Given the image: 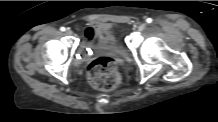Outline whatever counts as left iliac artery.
Masks as SVG:
<instances>
[{"label":"left iliac artery","mask_w":218,"mask_h":122,"mask_svg":"<svg viewBox=\"0 0 218 122\" xmlns=\"http://www.w3.org/2000/svg\"><path fill=\"white\" fill-rule=\"evenodd\" d=\"M146 22L147 23H152V19L151 18H147Z\"/></svg>","instance_id":"44dca946"}]
</instances>
